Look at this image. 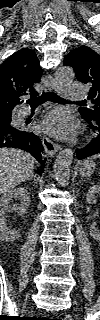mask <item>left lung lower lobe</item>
Wrapping results in <instances>:
<instances>
[{
  "instance_id": "obj_1",
  "label": "left lung lower lobe",
  "mask_w": 100,
  "mask_h": 320,
  "mask_svg": "<svg viewBox=\"0 0 100 320\" xmlns=\"http://www.w3.org/2000/svg\"><path fill=\"white\" fill-rule=\"evenodd\" d=\"M85 121L88 123V127H90L93 131H95L98 136L93 138L92 141L87 144L83 149H77V158L82 160L88 156L100 154V117L94 119H86Z\"/></svg>"
}]
</instances>
